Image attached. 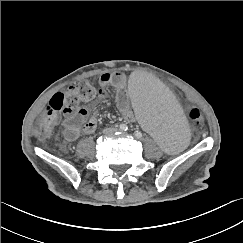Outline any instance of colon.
Masks as SVG:
<instances>
[{"label":"colon","instance_id":"obj_1","mask_svg":"<svg viewBox=\"0 0 243 243\" xmlns=\"http://www.w3.org/2000/svg\"><path fill=\"white\" fill-rule=\"evenodd\" d=\"M98 95V89L88 81L79 82L63 92L56 93L44 109L36 134L42 139L48 138L61 113L76 111L81 103L90 102ZM187 116L196 125L203 123L202 114L196 107L189 106Z\"/></svg>","mask_w":243,"mask_h":243}]
</instances>
